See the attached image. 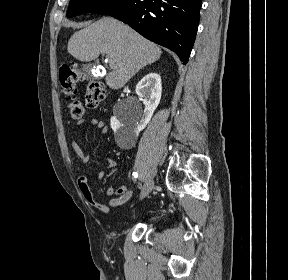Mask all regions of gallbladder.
Returning a JSON list of instances; mask_svg holds the SVG:
<instances>
[{"mask_svg": "<svg viewBox=\"0 0 288 280\" xmlns=\"http://www.w3.org/2000/svg\"><path fill=\"white\" fill-rule=\"evenodd\" d=\"M91 68H92L91 64H85L83 65L82 70L84 73L87 74V73H90Z\"/></svg>", "mask_w": 288, "mask_h": 280, "instance_id": "obj_1", "label": "gallbladder"}]
</instances>
